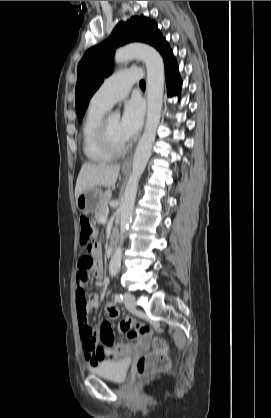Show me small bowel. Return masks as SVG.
<instances>
[{
	"label": "small bowel",
	"instance_id": "c3829d8e",
	"mask_svg": "<svg viewBox=\"0 0 271 418\" xmlns=\"http://www.w3.org/2000/svg\"><path fill=\"white\" fill-rule=\"evenodd\" d=\"M101 260V249L94 244H87L76 257V312L85 359L91 366H97L107 359L117 358L130 349L124 342L114 343L109 321L99 323L96 328H92L87 322L89 311L99 308L97 296L89 294L87 287L91 286V277L97 280L103 279ZM106 312L109 320L118 317V310L112 303L107 304ZM123 333L126 336L128 334Z\"/></svg>",
	"mask_w": 271,
	"mask_h": 418
}]
</instances>
